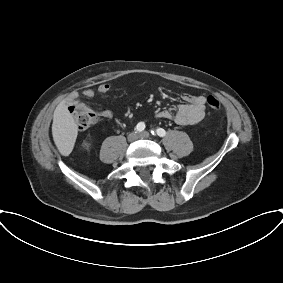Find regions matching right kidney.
I'll return each mask as SVG.
<instances>
[{"mask_svg":"<svg viewBox=\"0 0 283 283\" xmlns=\"http://www.w3.org/2000/svg\"><path fill=\"white\" fill-rule=\"evenodd\" d=\"M83 146L86 147V148H88V147H89V144H88V143H84Z\"/></svg>","mask_w":283,"mask_h":283,"instance_id":"obj_1","label":"right kidney"}]
</instances>
